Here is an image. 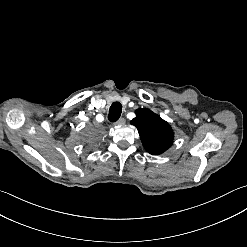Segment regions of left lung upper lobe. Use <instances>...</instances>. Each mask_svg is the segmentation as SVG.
<instances>
[{
  "label": "left lung upper lobe",
  "mask_w": 247,
  "mask_h": 247,
  "mask_svg": "<svg viewBox=\"0 0 247 247\" xmlns=\"http://www.w3.org/2000/svg\"><path fill=\"white\" fill-rule=\"evenodd\" d=\"M131 124L137 127L142 144L150 154H161L173 143L170 125L149 109L136 110V117Z\"/></svg>",
  "instance_id": "obj_1"
}]
</instances>
